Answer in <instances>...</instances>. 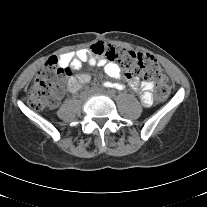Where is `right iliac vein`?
<instances>
[{"mask_svg":"<svg viewBox=\"0 0 207 207\" xmlns=\"http://www.w3.org/2000/svg\"><path fill=\"white\" fill-rule=\"evenodd\" d=\"M93 90H95V89H93ZM82 98L84 99L85 98V95H83Z\"/></svg>","mask_w":207,"mask_h":207,"instance_id":"63e3f726","label":"right iliac vein"}]
</instances>
